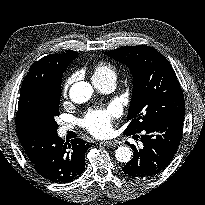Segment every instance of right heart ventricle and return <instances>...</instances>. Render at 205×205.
Returning a JSON list of instances; mask_svg holds the SVG:
<instances>
[{"instance_id":"obj_1","label":"right heart ventricle","mask_w":205,"mask_h":205,"mask_svg":"<svg viewBox=\"0 0 205 205\" xmlns=\"http://www.w3.org/2000/svg\"><path fill=\"white\" fill-rule=\"evenodd\" d=\"M117 76L116 67L109 62H99L95 65L92 73V80L99 81Z\"/></svg>"}]
</instances>
